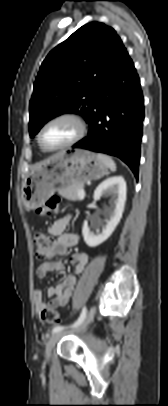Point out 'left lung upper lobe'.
I'll return each mask as SVG.
<instances>
[{
	"instance_id": "obj_1",
	"label": "left lung upper lobe",
	"mask_w": 168,
	"mask_h": 406,
	"mask_svg": "<svg viewBox=\"0 0 168 406\" xmlns=\"http://www.w3.org/2000/svg\"><path fill=\"white\" fill-rule=\"evenodd\" d=\"M125 47L115 30L90 22L55 47L43 61L30 101V136L50 119L76 113L88 122L100 88Z\"/></svg>"
}]
</instances>
